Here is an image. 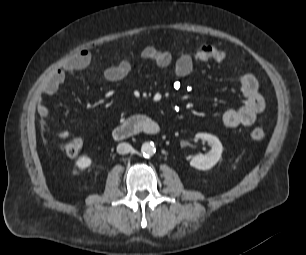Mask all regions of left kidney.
Listing matches in <instances>:
<instances>
[{
	"instance_id": "5707ae66",
	"label": "left kidney",
	"mask_w": 306,
	"mask_h": 255,
	"mask_svg": "<svg viewBox=\"0 0 306 255\" xmlns=\"http://www.w3.org/2000/svg\"><path fill=\"white\" fill-rule=\"evenodd\" d=\"M198 139L206 141L211 146V149L206 154H198L194 156L190 161V166L199 170H209L221 158L223 146L220 140L216 136L211 134L198 133L195 136V140Z\"/></svg>"
}]
</instances>
